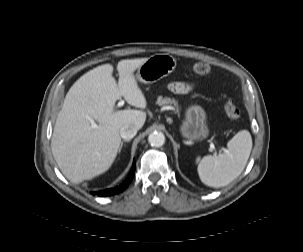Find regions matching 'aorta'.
<instances>
[{
	"label": "aorta",
	"instance_id": "762f6f07",
	"mask_svg": "<svg viewBox=\"0 0 303 252\" xmlns=\"http://www.w3.org/2000/svg\"><path fill=\"white\" fill-rule=\"evenodd\" d=\"M148 142L153 147H161L165 143V136L162 132L154 131L148 136Z\"/></svg>",
	"mask_w": 303,
	"mask_h": 252
}]
</instances>
